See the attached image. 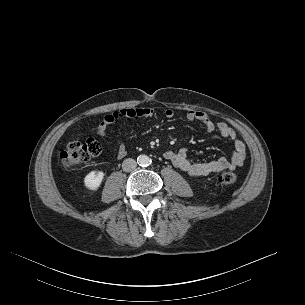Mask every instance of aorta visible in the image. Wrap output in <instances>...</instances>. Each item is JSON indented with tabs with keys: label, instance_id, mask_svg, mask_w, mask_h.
I'll return each instance as SVG.
<instances>
[{
	"label": "aorta",
	"instance_id": "aorta-1",
	"mask_svg": "<svg viewBox=\"0 0 305 305\" xmlns=\"http://www.w3.org/2000/svg\"><path fill=\"white\" fill-rule=\"evenodd\" d=\"M137 162L140 166H148L151 162L150 158L147 155H139L137 158Z\"/></svg>",
	"mask_w": 305,
	"mask_h": 305
}]
</instances>
